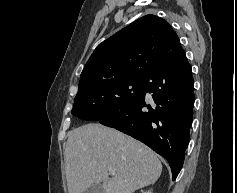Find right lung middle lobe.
<instances>
[{"instance_id": "obj_1", "label": "right lung middle lobe", "mask_w": 237, "mask_h": 193, "mask_svg": "<svg viewBox=\"0 0 237 193\" xmlns=\"http://www.w3.org/2000/svg\"><path fill=\"white\" fill-rule=\"evenodd\" d=\"M142 77L102 81L78 90L71 113L81 119L98 121L129 105L141 92Z\"/></svg>"}]
</instances>
